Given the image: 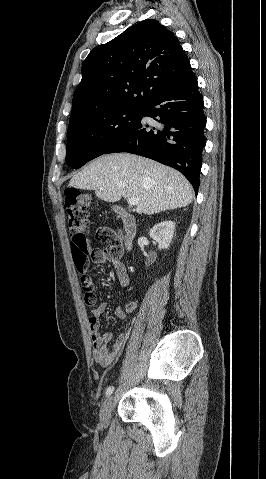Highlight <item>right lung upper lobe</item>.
<instances>
[{
    "mask_svg": "<svg viewBox=\"0 0 266 479\" xmlns=\"http://www.w3.org/2000/svg\"><path fill=\"white\" fill-rule=\"evenodd\" d=\"M192 74L173 32L146 19L95 47L82 65L70 121L119 108L143 107L161 89Z\"/></svg>",
    "mask_w": 266,
    "mask_h": 479,
    "instance_id": "cb5924a9",
    "label": "right lung upper lobe"
}]
</instances>
